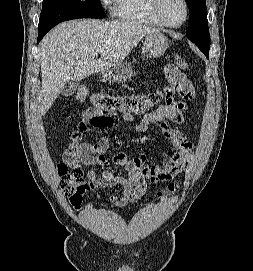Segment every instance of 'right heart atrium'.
<instances>
[{"instance_id": "d8ad5b80", "label": "right heart atrium", "mask_w": 253, "mask_h": 271, "mask_svg": "<svg viewBox=\"0 0 253 271\" xmlns=\"http://www.w3.org/2000/svg\"><path fill=\"white\" fill-rule=\"evenodd\" d=\"M102 1H103V3H104L105 5L111 6V5L114 4V1H115V0H102Z\"/></svg>"}]
</instances>
